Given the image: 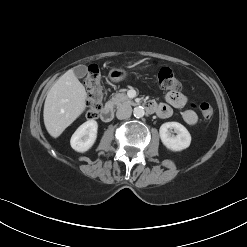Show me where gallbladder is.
<instances>
[{
	"instance_id": "bac80fb5",
	"label": "gallbladder",
	"mask_w": 247,
	"mask_h": 247,
	"mask_svg": "<svg viewBox=\"0 0 247 247\" xmlns=\"http://www.w3.org/2000/svg\"><path fill=\"white\" fill-rule=\"evenodd\" d=\"M73 72L76 77L82 78L87 73V67L85 65H78L73 69Z\"/></svg>"
}]
</instances>
